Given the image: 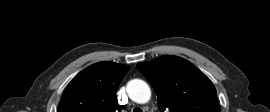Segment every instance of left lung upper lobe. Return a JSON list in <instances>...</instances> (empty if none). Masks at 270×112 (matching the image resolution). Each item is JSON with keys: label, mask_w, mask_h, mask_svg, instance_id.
Wrapping results in <instances>:
<instances>
[{"label": "left lung upper lobe", "mask_w": 270, "mask_h": 112, "mask_svg": "<svg viewBox=\"0 0 270 112\" xmlns=\"http://www.w3.org/2000/svg\"><path fill=\"white\" fill-rule=\"evenodd\" d=\"M137 67L154 88L161 112H220L214 85L189 61L162 56Z\"/></svg>", "instance_id": "obj_1"}]
</instances>
